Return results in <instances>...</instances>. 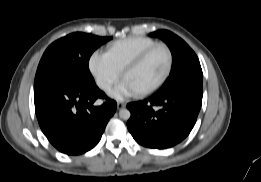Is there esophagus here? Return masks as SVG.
I'll return each mask as SVG.
<instances>
[{
    "instance_id": "1",
    "label": "esophagus",
    "mask_w": 261,
    "mask_h": 182,
    "mask_svg": "<svg viewBox=\"0 0 261 182\" xmlns=\"http://www.w3.org/2000/svg\"><path fill=\"white\" fill-rule=\"evenodd\" d=\"M125 106H126V104L124 102H118L117 103V109L118 110H121V109L125 108Z\"/></svg>"
}]
</instances>
